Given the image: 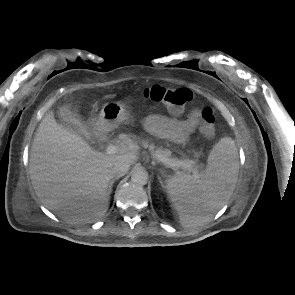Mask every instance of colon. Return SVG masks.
<instances>
[{
  "label": "colon",
  "instance_id": "colon-1",
  "mask_svg": "<svg viewBox=\"0 0 295 295\" xmlns=\"http://www.w3.org/2000/svg\"><path fill=\"white\" fill-rule=\"evenodd\" d=\"M143 96L152 102L163 104L174 114H179L193 97L189 89L168 88L160 85L145 88ZM199 130L206 136H211L214 133L215 115L210 108H205L201 111Z\"/></svg>",
  "mask_w": 295,
  "mask_h": 295
}]
</instances>
